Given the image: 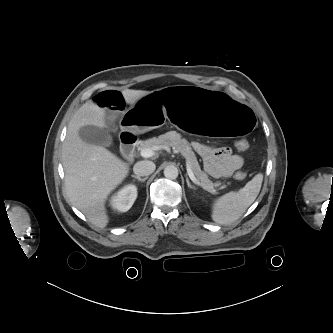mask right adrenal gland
Here are the masks:
<instances>
[{"label": "right adrenal gland", "instance_id": "right-adrenal-gland-1", "mask_svg": "<svg viewBox=\"0 0 333 333\" xmlns=\"http://www.w3.org/2000/svg\"><path fill=\"white\" fill-rule=\"evenodd\" d=\"M131 176H132L133 178H135V179L141 181V182H145V181L148 179V177L141 178V177L138 176V175H131Z\"/></svg>", "mask_w": 333, "mask_h": 333}]
</instances>
